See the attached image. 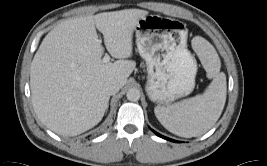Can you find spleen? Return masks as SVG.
Returning a JSON list of instances; mask_svg holds the SVG:
<instances>
[{
	"label": "spleen",
	"instance_id": "3e777b00",
	"mask_svg": "<svg viewBox=\"0 0 267 166\" xmlns=\"http://www.w3.org/2000/svg\"><path fill=\"white\" fill-rule=\"evenodd\" d=\"M206 71L213 81L206 91L195 97L169 105L156 106L158 121L171 133L191 138L207 132L219 119L226 101V76L220 71L215 49L206 41L197 49Z\"/></svg>",
	"mask_w": 267,
	"mask_h": 166
}]
</instances>
